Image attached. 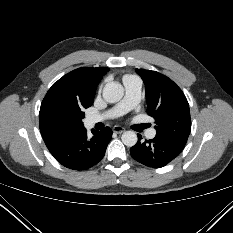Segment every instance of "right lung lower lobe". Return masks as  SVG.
<instances>
[{
    "label": "right lung lower lobe",
    "instance_id": "1",
    "mask_svg": "<svg viewBox=\"0 0 233 233\" xmlns=\"http://www.w3.org/2000/svg\"><path fill=\"white\" fill-rule=\"evenodd\" d=\"M88 138L85 128L48 148L54 158L63 166L73 170H87L97 164L105 155L108 143L112 138L109 127L102 131H92Z\"/></svg>",
    "mask_w": 233,
    "mask_h": 233
}]
</instances>
